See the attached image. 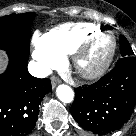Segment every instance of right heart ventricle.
Here are the masks:
<instances>
[{
    "label": "right heart ventricle",
    "instance_id": "1",
    "mask_svg": "<svg viewBox=\"0 0 136 136\" xmlns=\"http://www.w3.org/2000/svg\"><path fill=\"white\" fill-rule=\"evenodd\" d=\"M98 25L87 22L66 23L43 35L45 43L61 56L72 54L89 36L100 31Z\"/></svg>",
    "mask_w": 136,
    "mask_h": 136
}]
</instances>
